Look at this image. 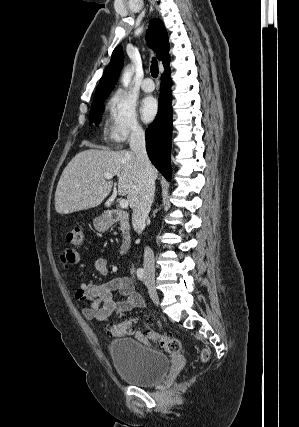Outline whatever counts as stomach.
I'll return each mask as SVG.
<instances>
[{"instance_id":"1","label":"stomach","mask_w":299,"mask_h":427,"mask_svg":"<svg viewBox=\"0 0 299 427\" xmlns=\"http://www.w3.org/2000/svg\"><path fill=\"white\" fill-rule=\"evenodd\" d=\"M95 224L101 230H105L109 226V221L106 218H97V219H95Z\"/></svg>"}]
</instances>
